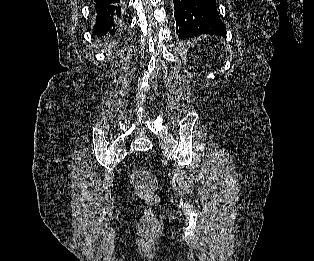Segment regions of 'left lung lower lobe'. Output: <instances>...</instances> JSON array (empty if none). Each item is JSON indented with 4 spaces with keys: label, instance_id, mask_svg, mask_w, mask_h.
<instances>
[{
    "label": "left lung lower lobe",
    "instance_id": "1",
    "mask_svg": "<svg viewBox=\"0 0 314 261\" xmlns=\"http://www.w3.org/2000/svg\"><path fill=\"white\" fill-rule=\"evenodd\" d=\"M173 4L180 39L201 34H226L215 0H173Z\"/></svg>",
    "mask_w": 314,
    "mask_h": 261
}]
</instances>
